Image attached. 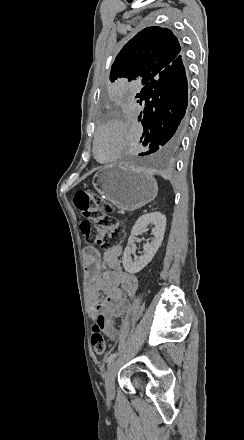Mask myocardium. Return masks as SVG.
Masks as SVG:
<instances>
[{"label":"myocardium","instance_id":"obj_1","mask_svg":"<svg viewBox=\"0 0 244 440\" xmlns=\"http://www.w3.org/2000/svg\"><path fill=\"white\" fill-rule=\"evenodd\" d=\"M114 121L116 123L117 122L119 123L121 120L119 118L118 119L116 118ZM104 131H109L111 133L112 143L110 148V154L108 155V157H106L105 159H100L97 153V140L99 135ZM120 139L121 138H120L119 128L117 126L112 125L110 122H108L105 126L99 128L94 133L92 140V154L93 157L96 159V161L101 164H110L116 161L119 158Z\"/></svg>","mask_w":244,"mask_h":440}]
</instances>
